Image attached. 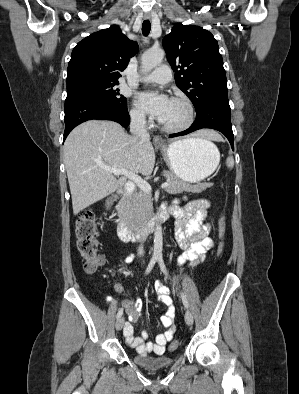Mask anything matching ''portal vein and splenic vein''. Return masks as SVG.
Wrapping results in <instances>:
<instances>
[{
	"instance_id": "portal-vein-and-splenic-vein-1",
	"label": "portal vein and splenic vein",
	"mask_w": 299,
	"mask_h": 394,
	"mask_svg": "<svg viewBox=\"0 0 299 394\" xmlns=\"http://www.w3.org/2000/svg\"><path fill=\"white\" fill-rule=\"evenodd\" d=\"M103 169L113 173L114 175H124L132 181V184L133 183L136 184L143 192L151 193L152 189H151L150 184L147 181L143 180L137 174L132 173L126 169H117V168H111V167H106V166H104ZM168 186H169V182H165L161 185V188L165 189Z\"/></svg>"
}]
</instances>
